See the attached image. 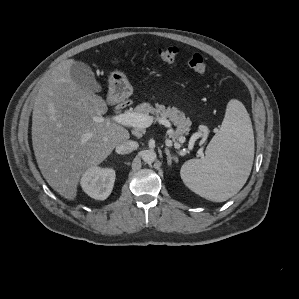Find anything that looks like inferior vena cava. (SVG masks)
I'll list each match as a JSON object with an SVG mask.
<instances>
[{"label":"inferior vena cava","mask_w":299,"mask_h":299,"mask_svg":"<svg viewBox=\"0 0 299 299\" xmlns=\"http://www.w3.org/2000/svg\"><path fill=\"white\" fill-rule=\"evenodd\" d=\"M138 148L136 141L126 140L116 146V152L118 154H128Z\"/></svg>","instance_id":"1"}]
</instances>
